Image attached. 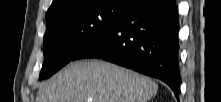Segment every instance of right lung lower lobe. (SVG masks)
<instances>
[{"instance_id":"98d812e1","label":"right lung lower lobe","mask_w":221,"mask_h":102,"mask_svg":"<svg viewBox=\"0 0 221 102\" xmlns=\"http://www.w3.org/2000/svg\"><path fill=\"white\" fill-rule=\"evenodd\" d=\"M178 34L174 0H139L74 60L103 59L158 78L179 98Z\"/></svg>"}]
</instances>
